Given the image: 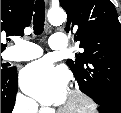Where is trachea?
Returning a JSON list of instances; mask_svg holds the SVG:
<instances>
[{
  "label": "trachea",
  "mask_w": 121,
  "mask_h": 113,
  "mask_svg": "<svg viewBox=\"0 0 121 113\" xmlns=\"http://www.w3.org/2000/svg\"><path fill=\"white\" fill-rule=\"evenodd\" d=\"M35 14L33 18V29L36 35H40L44 28L45 6L43 0H37L35 3Z\"/></svg>",
  "instance_id": "1"
}]
</instances>
